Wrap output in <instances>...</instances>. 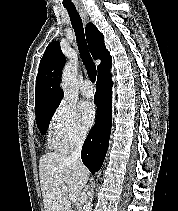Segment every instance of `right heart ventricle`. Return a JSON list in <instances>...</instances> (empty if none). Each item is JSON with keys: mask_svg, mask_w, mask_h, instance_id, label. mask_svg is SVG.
Here are the masks:
<instances>
[{"mask_svg": "<svg viewBox=\"0 0 178 211\" xmlns=\"http://www.w3.org/2000/svg\"><path fill=\"white\" fill-rule=\"evenodd\" d=\"M49 142L52 148L56 150H64L63 144L60 142V140L55 136L54 132L52 131L50 134Z\"/></svg>", "mask_w": 178, "mask_h": 211, "instance_id": "e07e8e85", "label": "right heart ventricle"}]
</instances>
